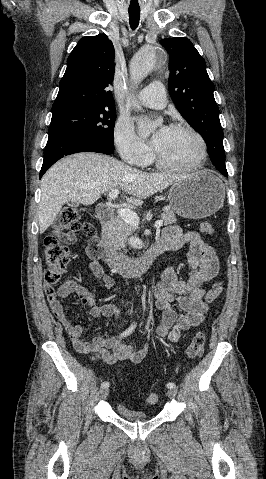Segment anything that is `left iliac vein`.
<instances>
[{
	"label": "left iliac vein",
	"mask_w": 266,
	"mask_h": 479,
	"mask_svg": "<svg viewBox=\"0 0 266 479\" xmlns=\"http://www.w3.org/2000/svg\"><path fill=\"white\" fill-rule=\"evenodd\" d=\"M167 395H168L169 398H175L176 395H177L176 389H170V390L167 392Z\"/></svg>",
	"instance_id": "1"
}]
</instances>
